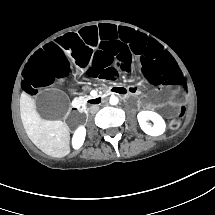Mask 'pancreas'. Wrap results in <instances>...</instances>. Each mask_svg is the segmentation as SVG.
<instances>
[{
	"label": "pancreas",
	"mask_w": 215,
	"mask_h": 215,
	"mask_svg": "<svg viewBox=\"0 0 215 215\" xmlns=\"http://www.w3.org/2000/svg\"><path fill=\"white\" fill-rule=\"evenodd\" d=\"M87 97L91 98V96H84V97H83V100H86Z\"/></svg>",
	"instance_id": "1"
}]
</instances>
